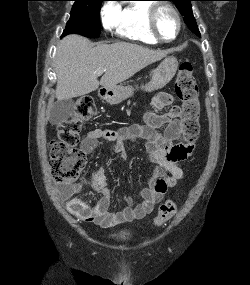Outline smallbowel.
<instances>
[{
	"mask_svg": "<svg viewBox=\"0 0 250 285\" xmlns=\"http://www.w3.org/2000/svg\"><path fill=\"white\" fill-rule=\"evenodd\" d=\"M172 98L167 93H158L153 98V105L162 109L170 105ZM165 126L164 133L159 129ZM182 126L179 120V108L175 107L168 113H147L144 125H130L119 129H94L89 131L81 143L84 154H91L97 148L99 141L105 139L114 144L115 151L121 157H127L125 143L127 141H145V149L154 169L148 180L147 187L140 192L141 202L133 206L128 200V206L113 212L110 211L111 192L103 167H99L94 175L93 190L100 194V199L90 205L76 195L82 186L74 183H59L57 186L60 197L65 201L68 211L85 222H91L101 227L143 219L152 212L154 206L162 200L170 188L177 185L184 177L180 167L193 150V145L182 142ZM178 141L177 144H174Z\"/></svg>",
	"mask_w": 250,
	"mask_h": 285,
	"instance_id": "obj_1",
	"label": "small bowel"
}]
</instances>
